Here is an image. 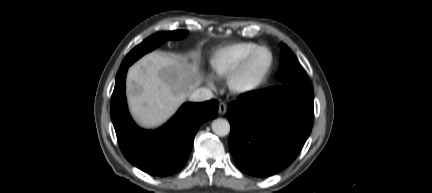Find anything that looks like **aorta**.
Segmentation results:
<instances>
[{"mask_svg":"<svg viewBox=\"0 0 432 193\" xmlns=\"http://www.w3.org/2000/svg\"><path fill=\"white\" fill-rule=\"evenodd\" d=\"M212 131L218 136H226L230 132V124L226 119L218 118L212 122Z\"/></svg>","mask_w":432,"mask_h":193,"instance_id":"obj_1","label":"aorta"}]
</instances>
